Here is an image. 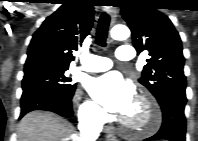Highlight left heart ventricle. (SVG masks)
Returning a JSON list of instances; mask_svg holds the SVG:
<instances>
[{"mask_svg": "<svg viewBox=\"0 0 198 141\" xmlns=\"http://www.w3.org/2000/svg\"><path fill=\"white\" fill-rule=\"evenodd\" d=\"M126 118L134 124H143L145 122L144 108L135 103L130 112L126 115Z\"/></svg>", "mask_w": 198, "mask_h": 141, "instance_id": "b2bd125f", "label": "left heart ventricle"}]
</instances>
